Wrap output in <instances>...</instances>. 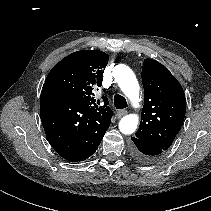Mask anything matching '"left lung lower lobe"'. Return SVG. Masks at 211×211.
I'll return each instance as SVG.
<instances>
[{
    "instance_id": "1",
    "label": "left lung lower lobe",
    "mask_w": 211,
    "mask_h": 211,
    "mask_svg": "<svg viewBox=\"0 0 211 211\" xmlns=\"http://www.w3.org/2000/svg\"><path fill=\"white\" fill-rule=\"evenodd\" d=\"M131 139L133 141L131 145V155L138 163H153L164 152L162 150L151 147L150 145L140 141L136 137H131Z\"/></svg>"
}]
</instances>
